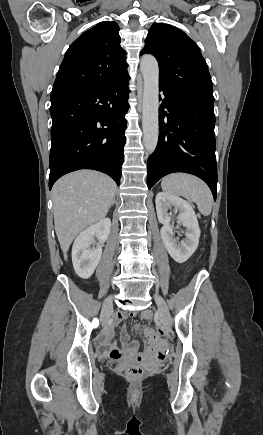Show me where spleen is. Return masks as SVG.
<instances>
[{
	"instance_id": "1",
	"label": "spleen",
	"mask_w": 263,
	"mask_h": 435,
	"mask_svg": "<svg viewBox=\"0 0 263 435\" xmlns=\"http://www.w3.org/2000/svg\"><path fill=\"white\" fill-rule=\"evenodd\" d=\"M161 187L167 193L180 195L195 202L202 215H210L213 204L212 193L209 187L196 176L185 173L170 174L162 179Z\"/></svg>"
}]
</instances>
